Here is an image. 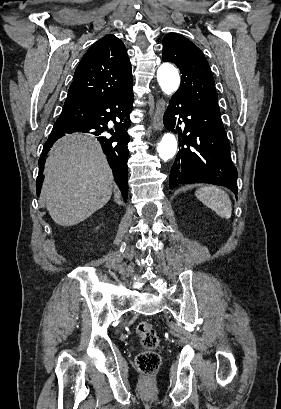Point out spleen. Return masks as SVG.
Listing matches in <instances>:
<instances>
[{
  "label": "spleen",
  "instance_id": "spleen-1",
  "mask_svg": "<svg viewBox=\"0 0 281 409\" xmlns=\"http://www.w3.org/2000/svg\"><path fill=\"white\" fill-rule=\"evenodd\" d=\"M195 194L203 202V205L215 211L219 217L230 219L232 215V202L225 190L210 184V186L198 188V190H195Z\"/></svg>",
  "mask_w": 281,
  "mask_h": 409
}]
</instances>
